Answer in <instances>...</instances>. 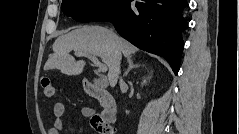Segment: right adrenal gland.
<instances>
[{
    "instance_id": "obj_1",
    "label": "right adrenal gland",
    "mask_w": 239,
    "mask_h": 134,
    "mask_svg": "<svg viewBox=\"0 0 239 134\" xmlns=\"http://www.w3.org/2000/svg\"><path fill=\"white\" fill-rule=\"evenodd\" d=\"M127 62H128V69L123 74V77H126L128 75V73L130 72V70H132L133 68L139 67V65L133 63V60L131 58H128Z\"/></svg>"
}]
</instances>
